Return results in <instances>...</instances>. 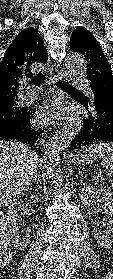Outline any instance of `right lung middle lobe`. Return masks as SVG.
Segmentation results:
<instances>
[{"label":"right lung middle lobe","instance_id":"right-lung-middle-lobe-1","mask_svg":"<svg viewBox=\"0 0 113 279\" xmlns=\"http://www.w3.org/2000/svg\"><path fill=\"white\" fill-rule=\"evenodd\" d=\"M24 113L25 110L17 108L15 103L7 107L0 108V126L21 120Z\"/></svg>","mask_w":113,"mask_h":279}]
</instances>
